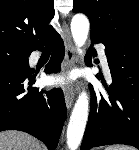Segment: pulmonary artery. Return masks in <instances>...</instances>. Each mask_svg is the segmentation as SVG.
Wrapping results in <instances>:
<instances>
[{"instance_id":"pulmonary-artery-1","label":"pulmonary artery","mask_w":139,"mask_h":150,"mask_svg":"<svg viewBox=\"0 0 139 150\" xmlns=\"http://www.w3.org/2000/svg\"><path fill=\"white\" fill-rule=\"evenodd\" d=\"M96 48H97V51H98L101 63L103 65V68H104L105 72L107 74H109V67H108V63H107V57H106V53H105V47H104L103 44H97Z\"/></svg>"}]
</instances>
